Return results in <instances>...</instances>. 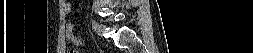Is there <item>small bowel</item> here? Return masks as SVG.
<instances>
[{
  "instance_id": "obj_1",
  "label": "small bowel",
  "mask_w": 253,
  "mask_h": 53,
  "mask_svg": "<svg viewBox=\"0 0 253 53\" xmlns=\"http://www.w3.org/2000/svg\"><path fill=\"white\" fill-rule=\"evenodd\" d=\"M65 29H66V37L68 41H70L72 44H75V45H79L82 43L81 40L74 33L72 24L67 23L65 25Z\"/></svg>"
}]
</instances>
